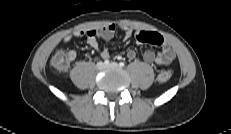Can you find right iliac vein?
I'll list each match as a JSON object with an SVG mask.
<instances>
[{
  "label": "right iliac vein",
  "instance_id": "1",
  "mask_svg": "<svg viewBox=\"0 0 231 134\" xmlns=\"http://www.w3.org/2000/svg\"><path fill=\"white\" fill-rule=\"evenodd\" d=\"M104 67H105L104 63H102V62H98V63H97V68H98L99 70L103 69Z\"/></svg>",
  "mask_w": 231,
  "mask_h": 134
}]
</instances>
